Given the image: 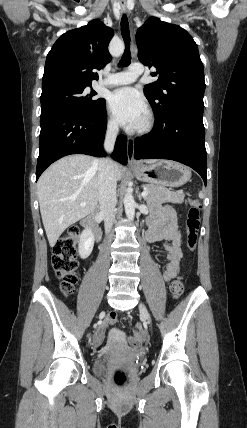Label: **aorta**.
I'll return each instance as SVG.
<instances>
[{"instance_id": "762f6f07", "label": "aorta", "mask_w": 247, "mask_h": 428, "mask_svg": "<svg viewBox=\"0 0 247 428\" xmlns=\"http://www.w3.org/2000/svg\"><path fill=\"white\" fill-rule=\"evenodd\" d=\"M123 53V46H121L117 51H113V55L115 57H119ZM124 208L125 213L128 219L132 220L135 216V201L134 197L132 195V192L130 190H127L125 196H124Z\"/></svg>"}]
</instances>
